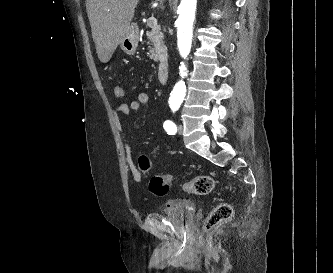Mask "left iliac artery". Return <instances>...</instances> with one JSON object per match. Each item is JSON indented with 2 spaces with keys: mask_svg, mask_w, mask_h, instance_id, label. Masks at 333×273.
Listing matches in <instances>:
<instances>
[{
  "mask_svg": "<svg viewBox=\"0 0 333 273\" xmlns=\"http://www.w3.org/2000/svg\"><path fill=\"white\" fill-rule=\"evenodd\" d=\"M163 127L169 135H174L177 132L176 124L171 120H166L163 124Z\"/></svg>",
  "mask_w": 333,
  "mask_h": 273,
  "instance_id": "obj_1",
  "label": "left iliac artery"
}]
</instances>
